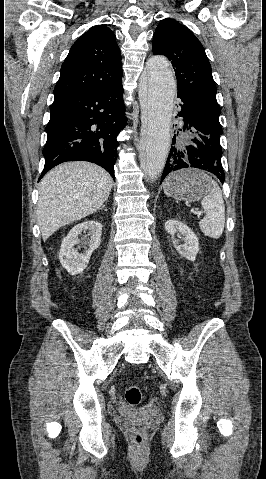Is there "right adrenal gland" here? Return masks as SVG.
Segmentation results:
<instances>
[{"label":"right adrenal gland","instance_id":"obj_1","mask_svg":"<svg viewBox=\"0 0 266 479\" xmlns=\"http://www.w3.org/2000/svg\"><path fill=\"white\" fill-rule=\"evenodd\" d=\"M104 207H105V205H102L101 208H100V210H102Z\"/></svg>","mask_w":266,"mask_h":479}]
</instances>
